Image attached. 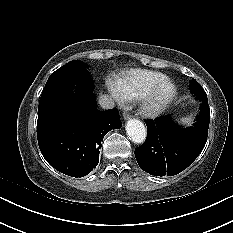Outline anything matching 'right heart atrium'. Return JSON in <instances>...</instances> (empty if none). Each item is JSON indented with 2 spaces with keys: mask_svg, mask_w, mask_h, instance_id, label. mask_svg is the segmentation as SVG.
Instances as JSON below:
<instances>
[{
  "mask_svg": "<svg viewBox=\"0 0 233 233\" xmlns=\"http://www.w3.org/2000/svg\"><path fill=\"white\" fill-rule=\"evenodd\" d=\"M109 87H110V90H111L113 96L116 98V100L118 102H121V97L117 94V92L115 91L113 85L110 84Z\"/></svg>",
  "mask_w": 233,
  "mask_h": 233,
  "instance_id": "obj_1",
  "label": "right heart atrium"
}]
</instances>
